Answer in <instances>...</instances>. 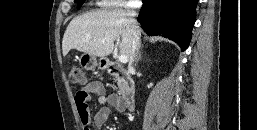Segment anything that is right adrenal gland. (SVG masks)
Wrapping results in <instances>:
<instances>
[{"label":"right adrenal gland","instance_id":"2a0ac1e0","mask_svg":"<svg viewBox=\"0 0 257 130\" xmlns=\"http://www.w3.org/2000/svg\"><path fill=\"white\" fill-rule=\"evenodd\" d=\"M140 47L141 46H139V48H138V50H137V53H136V58H135V66L137 65V63L139 62V60L141 59V52H140Z\"/></svg>","mask_w":257,"mask_h":130}]
</instances>
